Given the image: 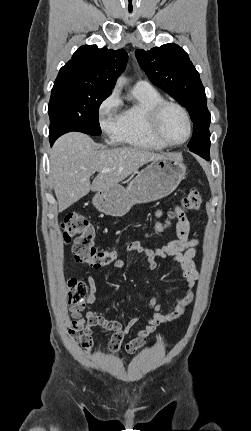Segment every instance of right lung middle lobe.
<instances>
[{
  "instance_id": "dd1d6c3e",
  "label": "right lung middle lobe",
  "mask_w": 251,
  "mask_h": 431,
  "mask_svg": "<svg viewBox=\"0 0 251 431\" xmlns=\"http://www.w3.org/2000/svg\"><path fill=\"white\" fill-rule=\"evenodd\" d=\"M110 94L109 91L73 82H55L48 105L49 138L57 139L70 131L100 135L98 110Z\"/></svg>"
}]
</instances>
